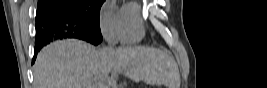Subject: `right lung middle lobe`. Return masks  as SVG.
<instances>
[{
	"mask_svg": "<svg viewBox=\"0 0 267 88\" xmlns=\"http://www.w3.org/2000/svg\"><path fill=\"white\" fill-rule=\"evenodd\" d=\"M105 0H38V6L58 11L100 32L99 14Z\"/></svg>",
	"mask_w": 267,
	"mask_h": 88,
	"instance_id": "1",
	"label": "right lung middle lobe"
}]
</instances>
